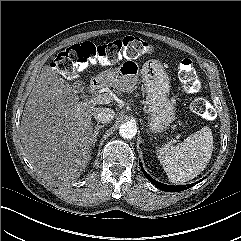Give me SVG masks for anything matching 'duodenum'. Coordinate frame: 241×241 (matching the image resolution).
<instances>
[{
	"mask_svg": "<svg viewBox=\"0 0 241 241\" xmlns=\"http://www.w3.org/2000/svg\"><path fill=\"white\" fill-rule=\"evenodd\" d=\"M102 86H103L102 80L95 78L91 81V83L88 87V91L90 94H92V93L96 92L97 90H99Z\"/></svg>",
	"mask_w": 241,
	"mask_h": 241,
	"instance_id": "obj_1",
	"label": "duodenum"
}]
</instances>
